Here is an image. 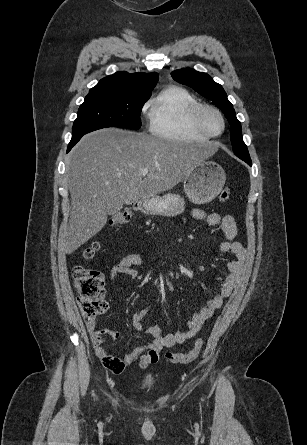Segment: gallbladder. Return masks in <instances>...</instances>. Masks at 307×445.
Instances as JSON below:
<instances>
[{"label": "gallbladder", "instance_id": "bac80fb5", "mask_svg": "<svg viewBox=\"0 0 307 445\" xmlns=\"http://www.w3.org/2000/svg\"><path fill=\"white\" fill-rule=\"evenodd\" d=\"M122 205L123 202L121 196L117 195L112 196L111 202L107 204V210H106L107 216L109 218H114L116 216V212L121 211Z\"/></svg>", "mask_w": 307, "mask_h": 445}]
</instances>
